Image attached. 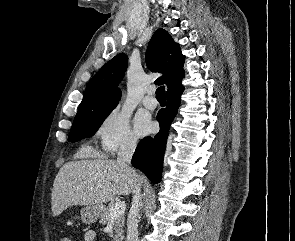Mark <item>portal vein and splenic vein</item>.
I'll use <instances>...</instances> for the list:
<instances>
[{"instance_id":"1","label":"portal vein and splenic vein","mask_w":295,"mask_h":241,"mask_svg":"<svg viewBox=\"0 0 295 241\" xmlns=\"http://www.w3.org/2000/svg\"><path fill=\"white\" fill-rule=\"evenodd\" d=\"M126 204L124 201L117 202L113 207L110 209V218L112 220L118 218L120 215H122L125 212Z\"/></svg>"}]
</instances>
